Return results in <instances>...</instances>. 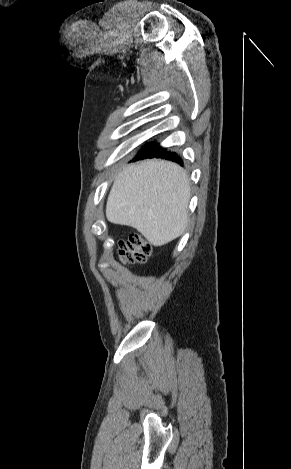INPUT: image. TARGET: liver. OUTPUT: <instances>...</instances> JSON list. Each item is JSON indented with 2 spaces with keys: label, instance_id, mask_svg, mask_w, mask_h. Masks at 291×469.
Listing matches in <instances>:
<instances>
[{
  "label": "liver",
  "instance_id": "1",
  "mask_svg": "<svg viewBox=\"0 0 291 469\" xmlns=\"http://www.w3.org/2000/svg\"><path fill=\"white\" fill-rule=\"evenodd\" d=\"M190 182L165 160H145L119 172L106 204L109 222L135 228L153 246L182 235L188 223Z\"/></svg>",
  "mask_w": 291,
  "mask_h": 469
}]
</instances>
